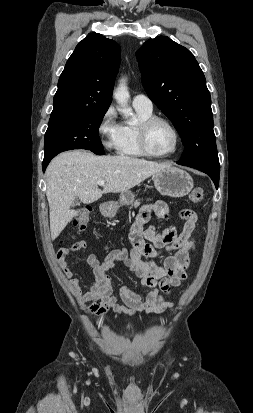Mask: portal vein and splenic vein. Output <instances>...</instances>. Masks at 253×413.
Returning a JSON list of instances; mask_svg holds the SVG:
<instances>
[{"label": "portal vein and splenic vein", "instance_id": "obj_1", "mask_svg": "<svg viewBox=\"0 0 253 413\" xmlns=\"http://www.w3.org/2000/svg\"><path fill=\"white\" fill-rule=\"evenodd\" d=\"M97 184H98L99 186H104V185H105V182L102 181V180H99V181L97 182Z\"/></svg>", "mask_w": 253, "mask_h": 413}]
</instances>
